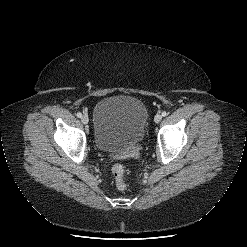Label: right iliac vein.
Segmentation results:
<instances>
[{
  "label": "right iliac vein",
  "mask_w": 247,
  "mask_h": 247,
  "mask_svg": "<svg viewBox=\"0 0 247 247\" xmlns=\"http://www.w3.org/2000/svg\"><path fill=\"white\" fill-rule=\"evenodd\" d=\"M81 121H82L83 124H88V122H89L88 116H86V115L82 116L81 117Z\"/></svg>",
  "instance_id": "obj_1"
}]
</instances>
